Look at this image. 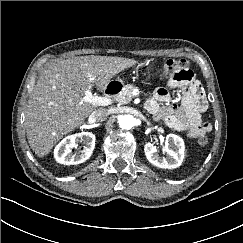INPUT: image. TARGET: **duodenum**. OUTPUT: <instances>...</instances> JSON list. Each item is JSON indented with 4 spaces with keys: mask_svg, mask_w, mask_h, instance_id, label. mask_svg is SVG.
Listing matches in <instances>:
<instances>
[{
    "mask_svg": "<svg viewBox=\"0 0 243 243\" xmlns=\"http://www.w3.org/2000/svg\"><path fill=\"white\" fill-rule=\"evenodd\" d=\"M120 90H121V85L119 83L111 82L106 86L104 93L109 97H113L117 95L120 92Z\"/></svg>",
    "mask_w": 243,
    "mask_h": 243,
    "instance_id": "obj_1",
    "label": "duodenum"
}]
</instances>
